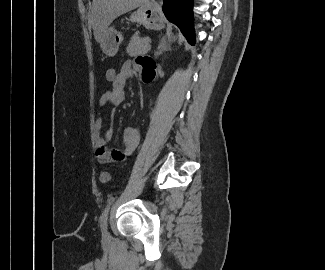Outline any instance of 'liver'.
<instances>
[{
	"label": "liver",
	"instance_id": "6515ba94",
	"mask_svg": "<svg viewBox=\"0 0 325 270\" xmlns=\"http://www.w3.org/2000/svg\"><path fill=\"white\" fill-rule=\"evenodd\" d=\"M145 3L148 0H93L91 20L95 40L101 44L114 19Z\"/></svg>",
	"mask_w": 325,
	"mask_h": 270
}]
</instances>
